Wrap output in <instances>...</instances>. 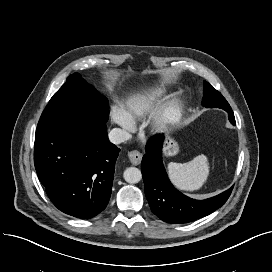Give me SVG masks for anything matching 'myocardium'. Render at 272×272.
Returning <instances> with one entry per match:
<instances>
[{
    "mask_svg": "<svg viewBox=\"0 0 272 272\" xmlns=\"http://www.w3.org/2000/svg\"><path fill=\"white\" fill-rule=\"evenodd\" d=\"M181 118V103L178 100L173 99L155 111L152 127L157 132H163L179 123Z\"/></svg>",
    "mask_w": 272,
    "mask_h": 272,
    "instance_id": "obj_1",
    "label": "myocardium"
}]
</instances>
